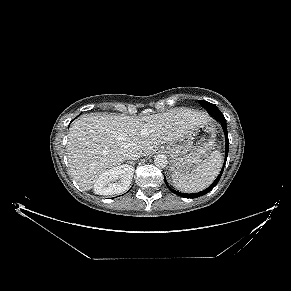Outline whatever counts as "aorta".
Here are the masks:
<instances>
[{
  "label": "aorta",
  "instance_id": "obj_1",
  "mask_svg": "<svg viewBox=\"0 0 291 291\" xmlns=\"http://www.w3.org/2000/svg\"><path fill=\"white\" fill-rule=\"evenodd\" d=\"M154 163L159 168H164L168 164L167 157L163 154H158L154 157Z\"/></svg>",
  "mask_w": 291,
  "mask_h": 291
}]
</instances>
